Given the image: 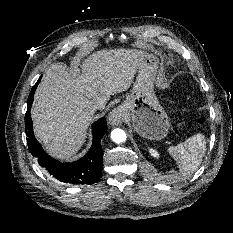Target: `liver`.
Here are the masks:
<instances>
[{"label": "liver", "instance_id": "6515ba94", "mask_svg": "<svg viewBox=\"0 0 233 233\" xmlns=\"http://www.w3.org/2000/svg\"><path fill=\"white\" fill-rule=\"evenodd\" d=\"M143 59L140 50H100L81 62L77 77L63 65L47 68L31 109L35 136L46 151L61 160L76 154L95 106L104 109L112 95L127 90Z\"/></svg>", "mask_w": 233, "mask_h": 233}]
</instances>
